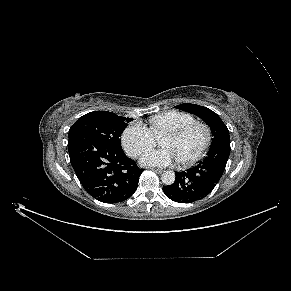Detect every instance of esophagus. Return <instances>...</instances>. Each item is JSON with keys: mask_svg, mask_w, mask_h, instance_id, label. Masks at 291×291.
<instances>
[{"mask_svg": "<svg viewBox=\"0 0 291 291\" xmlns=\"http://www.w3.org/2000/svg\"><path fill=\"white\" fill-rule=\"evenodd\" d=\"M152 171L156 172V173H162L163 170L159 169V168H151Z\"/></svg>", "mask_w": 291, "mask_h": 291, "instance_id": "1", "label": "esophagus"}]
</instances>
